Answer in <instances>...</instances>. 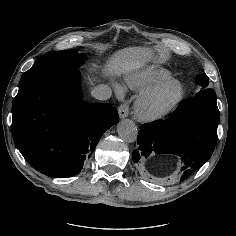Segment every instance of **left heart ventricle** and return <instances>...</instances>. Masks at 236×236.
<instances>
[{"mask_svg":"<svg viewBox=\"0 0 236 236\" xmlns=\"http://www.w3.org/2000/svg\"><path fill=\"white\" fill-rule=\"evenodd\" d=\"M175 92L174 88H168L157 95L150 103L151 109H156L164 104Z\"/></svg>","mask_w":236,"mask_h":236,"instance_id":"b2bd125f","label":"left heart ventricle"}]
</instances>
